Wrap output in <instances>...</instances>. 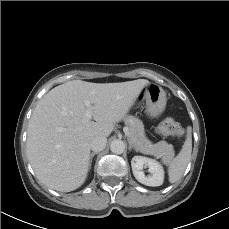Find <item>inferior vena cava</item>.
I'll return each mask as SVG.
<instances>
[{"label": "inferior vena cava", "mask_w": 229, "mask_h": 229, "mask_svg": "<svg viewBox=\"0 0 229 229\" xmlns=\"http://www.w3.org/2000/svg\"><path fill=\"white\" fill-rule=\"evenodd\" d=\"M107 139L104 136H96L90 142V148L94 152H100L105 149Z\"/></svg>", "instance_id": "inferior-vena-cava-1"}]
</instances>
